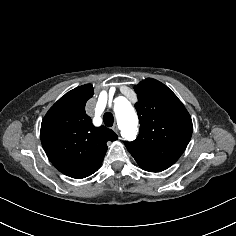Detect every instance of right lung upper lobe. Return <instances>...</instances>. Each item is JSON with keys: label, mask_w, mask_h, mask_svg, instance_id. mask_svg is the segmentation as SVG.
Wrapping results in <instances>:
<instances>
[{"label": "right lung upper lobe", "mask_w": 236, "mask_h": 236, "mask_svg": "<svg viewBox=\"0 0 236 236\" xmlns=\"http://www.w3.org/2000/svg\"><path fill=\"white\" fill-rule=\"evenodd\" d=\"M90 84L79 86L61 97L42 120L40 138L52 164L63 174L81 179L95 173L107 151V141L117 140L111 129L96 128L85 114L93 96Z\"/></svg>", "instance_id": "obj_1"}]
</instances>
